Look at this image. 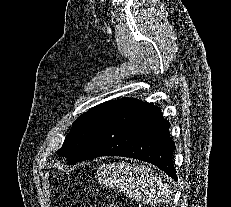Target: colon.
Returning <instances> with one entry per match:
<instances>
[{
  "label": "colon",
  "instance_id": "1",
  "mask_svg": "<svg viewBox=\"0 0 231 207\" xmlns=\"http://www.w3.org/2000/svg\"><path fill=\"white\" fill-rule=\"evenodd\" d=\"M84 207H87V206H84ZM105 207H115L113 204L109 203V204H106Z\"/></svg>",
  "mask_w": 231,
  "mask_h": 207
}]
</instances>
